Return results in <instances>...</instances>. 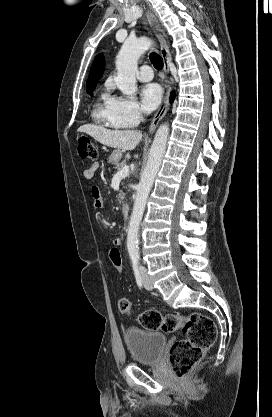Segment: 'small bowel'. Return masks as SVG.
<instances>
[{"instance_id":"c3829d8e","label":"small bowel","mask_w":272,"mask_h":417,"mask_svg":"<svg viewBox=\"0 0 272 417\" xmlns=\"http://www.w3.org/2000/svg\"><path fill=\"white\" fill-rule=\"evenodd\" d=\"M99 167H100L99 162L97 161L93 162L89 167L83 170V177L88 180L92 179L95 173L97 172V170L99 169ZM91 196H92L94 208L100 209L103 205V202H102L100 190L97 186H93L91 188ZM121 243H122L121 238L116 237L112 241V246L120 247Z\"/></svg>"}]
</instances>
